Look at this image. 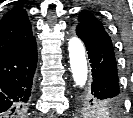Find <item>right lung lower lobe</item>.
<instances>
[{
	"label": "right lung lower lobe",
	"mask_w": 133,
	"mask_h": 118,
	"mask_svg": "<svg viewBox=\"0 0 133 118\" xmlns=\"http://www.w3.org/2000/svg\"><path fill=\"white\" fill-rule=\"evenodd\" d=\"M35 38L0 56V118H21L37 65Z\"/></svg>",
	"instance_id": "right-lung-lower-lobe-1"
}]
</instances>
